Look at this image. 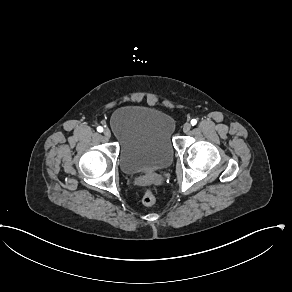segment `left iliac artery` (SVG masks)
<instances>
[{
    "mask_svg": "<svg viewBox=\"0 0 292 292\" xmlns=\"http://www.w3.org/2000/svg\"><path fill=\"white\" fill-rule=\"evenodd\" d=\"M191 124H192V126L196 125L197 124V120L196 119H192L191 120Z\"/></svg>",
    "mask_w": 292,
    "mask_h": 292,
    "instance_id": "44dca946",
    "label": "left iliac artery"
}]
</instances>
